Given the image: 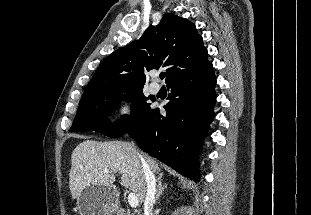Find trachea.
I'll return each mask as SVG.
<instances>
[{"mask_svg": "<svg viewBox=\"0 0 311 215\" xmlns=\"http://www.w3.org/2000/svg\"><path fill=\"white\" fill-rule=\"evenodd\" d=\"M165 76H166V74H165V73H161V74H160V78H161V79H164V78H165Z\"/></svg>", "mask_w": 311, "mask_h": 215, "instance_id": "obj_1", "label": "trachea"}]
</instances>
